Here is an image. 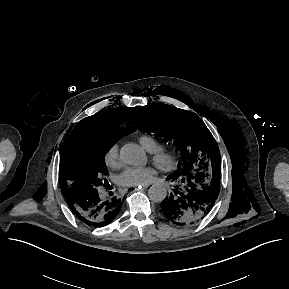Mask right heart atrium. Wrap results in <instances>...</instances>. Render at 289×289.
<instances>
[{
	"label": "right heart atrium",
	"mask_w": 289,
	"mask_h": 289,
	"mask_svg": "<svg viewBox=\"0 0 289 289\" xmlns=\"http://www.w3.org/2000/svg\"><path fill=\"white\" fill-rule=\"evenodd\" d=\"M105 164L111 168H116L120 165V153L119 145L117 143L112 144L104 155Z\"/></svg>",
	"instance_id": "d8ad5b80"
}]
</instances>
